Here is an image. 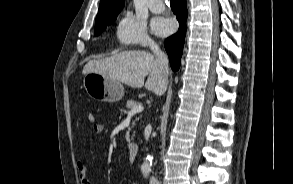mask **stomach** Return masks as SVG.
I'll return each instance as SVG.
<instances>
[{
    "label": "stomach",
    "mask_w": 293,
    "mask_h": 184,
    "mask_svg": "<svg viewBox=\"0 0 293 184\" xmlns=\"http://www.w3.org/2000/svg\"><path fill=\"white\" fill-rule=\"evenodd\" d=\"M83 85L87 94L98 101L114 103L124 96V87L120 81L99 73L85 74Z\"/></svg>",
    "instance_id": "obj_1"
}]
</instances>
